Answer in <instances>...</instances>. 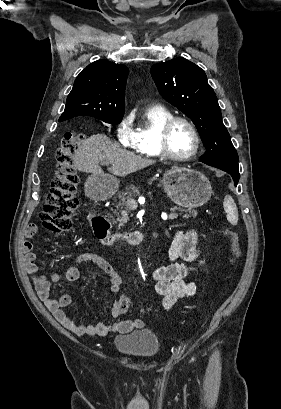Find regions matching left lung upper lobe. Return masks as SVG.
Wrapping results in <instances>:
<instances>
[{
  "label": "left lung upper lobe",
  "mask_w": 281,
  "mask_h": 409,
  "mask_svg": "<svg viewBox=\"0 0 281 409\" xmlns=\"http://www.w3.org/2000/svg\"><path fill=\"white\" fill-rule=\"evenodd\" d=\"M151 74L163 98L196 125L206 148L200 161L237 163L236 149L222 122L217 97L207 83L205 72L194 63L178 57L153 65Z\"/></svg>",
  "instance_id": "5c2ea615"
}]
</instances>
